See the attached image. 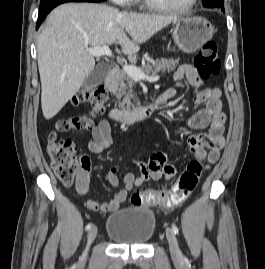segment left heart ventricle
<instances>
[{
    "label": "left heart ventricle",
    "instance_id": "b2bd125f",
    "mask_svg": "<svg viewBox=\"0 0 265 269\" xmlns=\"http://www.w3.org/2000/svg\"><path fill=\"white\" fill-rule=\"evenodd\" d=\"M156 1L166 5L183 6L187 4L190 0H156Z\"/></svg>",
    "mask_w": 265,
    "mask_h": 269
}]
</instances>
